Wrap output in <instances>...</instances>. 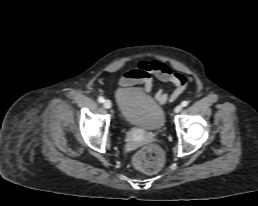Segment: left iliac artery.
<instances>
[{"label": "left iliac artery", "mask_w": 258, "mask_h": 206, "mask_svg": "<svg viewBox=\"0 0 258 206\" xmlns=\"http://www.w3.org/2000/svg\"><path fill=\"white\" fill-rule=\"evenodd\" d=\"M181 105H182V107H186V106L188 105V102H187V101H183V102L181 103Z\"/></svg>", "instance_id": "left-iliac-artery-1"}]
</instances>
